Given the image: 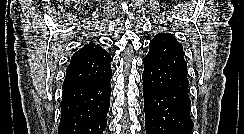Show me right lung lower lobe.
Here are the masks:
<instances>
[{
  "label": "right lung lower lobe",
  "mask_w": 244,
  "mask_h": 134,
  "mask_svg": "<svg viewBox=\"0 0 244 134\" xmlns=\"http://www.w3.org/2000/svg\"><path fill=\"white\" fill-rule=\"evenodd\" d=\"M112 74L88 84L63 88L59 134H103L110 107Z\"/></svg>",
  "instance_id": "98d812e1"
}]
</instances>
